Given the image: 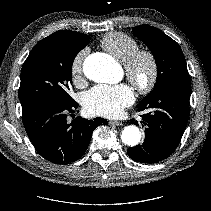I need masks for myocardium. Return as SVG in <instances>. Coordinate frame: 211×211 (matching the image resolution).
Returning <instances> with one entry per match:
<instances>
[{"mask_svg": "<svg viewBox=\"0 0 211 211\" xmlns=\"http://www.w3.org/2000/svg\"><path fill=\"white\" fill-rule=\"evenodd\" d=\"M143 63L147 64V74L145 77L140 75V67ZM124 68L128 80L142 94L151 92L158 82L159 63L156 55L149 49L136 50L124 62Z\"/></svg>", "mask_w": 211, "mask_h": 211, "instance_id": "f54148a6", "label": "myocardium"}]
</instances>
